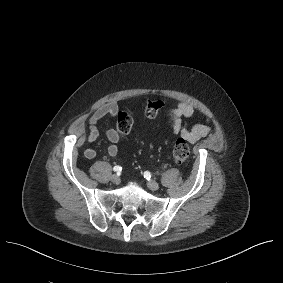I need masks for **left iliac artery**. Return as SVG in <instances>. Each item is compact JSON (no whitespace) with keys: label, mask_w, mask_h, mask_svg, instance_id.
I'll use <instances>...</instances> for the list:
<instances>
[{"label":"left iliac artery","mask_w":283,"mask_h":283,"mask_svg":"<svg viewBox=\"0 0 283 283\" xmlns=\"http://www.w3.org/2000/svg\"><path fill=\"white\" fill-rule=\"evenodd\" d=\"M144 177H147V179H148V178L150 179V177H151L150 172L145 171V172H144Z\"/></svg>","instance_id":"left-iliac-artery-1"}]
</instances>
